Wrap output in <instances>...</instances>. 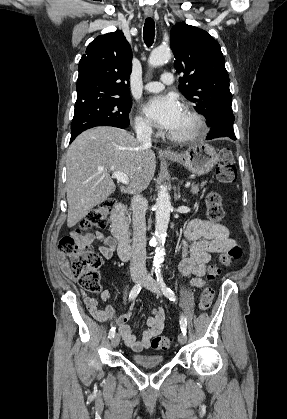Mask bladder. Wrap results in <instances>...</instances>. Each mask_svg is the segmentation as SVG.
<instances>
[{
	"mask_svg": "<svg viewBox=\"0 0 287 419\" xmlns=\"http://www.w3.org/2000/svg\"><path fill=\"white\" fill-rule=\"evenodd\" d=\"M132 361L144 368H154L160 366L163 363L164 358L162 356L134 354L132 356Z\"/></svg>",
	"mask_w": 287,
	"mask_h": 419,
	"instance_id": "bladder-1",
	"label": "bladder"
}]
</instances>
